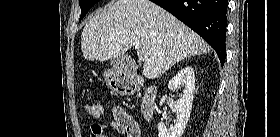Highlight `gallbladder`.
I'll use <instances>...</instances> for the list:
<instances>
[{
    "instance_id": "obj_1",
    "label": "gallbladder",
    "mask_w": 280,
    "mask_h": 137,
    "mask_svg": "<svg viewBox=\"0 0 280 137\" xmlns=\"http://www.w3.org/2000/svg\"><path fill=\"white\" fill-rule=\"evenodd\" d=\"M110 65L117 71L133 72L136 62L128 56H118L109 60Z\"/></svg>"
}]
</instances>
